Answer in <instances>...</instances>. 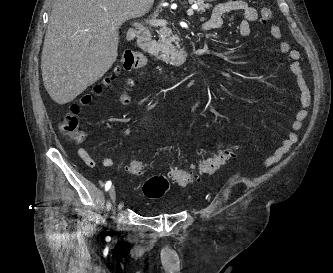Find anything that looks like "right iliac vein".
I'll use <instances>...</instances> for the list:
<instances>
[{
	"label": "right iliac vein",
	"instance_id": "right-iliac-vein-1",
	"mask_svg": "<svg viewBox=\"0 0 333 273\" xmlns=\"http://www.w3.org/2000/svg\"><path fill=\"white\" fill-rule=\"evenodd\" d=\"M109 197H110L111 201L114 203L115 199H116V190H115L114 186H112L109 191Z\"/></svg>",
	"mask_w": 333,
	"mask_h": 273
}]
</instances>
